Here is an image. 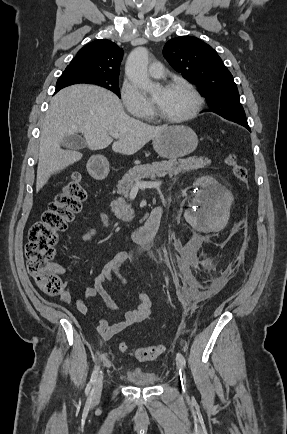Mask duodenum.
Instances as JSON below:
<instances>
[{"label": "duodenum", "instance_id": "1", "mask_svg": "<svg viewBox=\"0 0 287 434\" xmlns=\"http://www.w3.org/2000/svg\"><path fill=\"white\" fill-rule=\"evenodd\" d=\"M91 173L95 178L105 177L108 174V161L105 158L94 159L91 162ZM162 215L163 208L161 206L155 207L145 224L130 234L131 240L143 245L152 242L160 226Z\"/></svg>", "mask_w": 287, "mask_h": 434}]
</instances>
